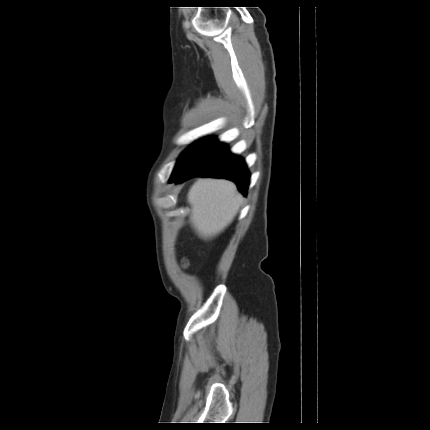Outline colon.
<instances>
[{"instance_id":"colon-1","label":"colon","mask_w":430,"mask_h":430,"mask_svg":"<svg viewBox=\"0 0 430 430\" xmlns=\"http://www.w3.org/2000/svg\"><path fill=\"white\" fill-rule=\"evenodd\" d=\"M182 265H183L184 267H187V265H188V261H187L186 259H182Z\"/></svg>"}]
</instances>
